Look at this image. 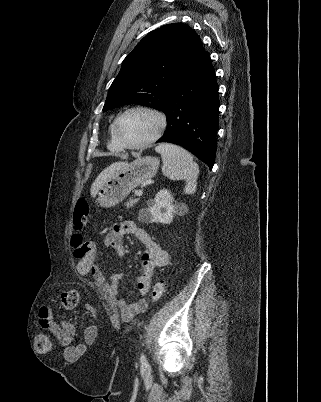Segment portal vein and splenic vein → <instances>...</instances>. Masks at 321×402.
Instances as JSON below:
<instances>
[{"mask_svg": "<svg viewBox=\"0 0 321 402\" xmlns=\"http://www.w3.org/2000/svg\"><path fill=\"white\" fill-rule=\"evenodd\" d=\"M142 194H143L142 190H138V191L135 192V195L138 196V197L141 196Z\"/></svg>", "mask_w": 321, "mask_h": 402, "instance_id": "18ae733b", "label": "portal vein and splenic vein"}]
</instances>
